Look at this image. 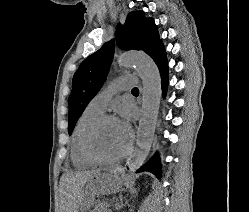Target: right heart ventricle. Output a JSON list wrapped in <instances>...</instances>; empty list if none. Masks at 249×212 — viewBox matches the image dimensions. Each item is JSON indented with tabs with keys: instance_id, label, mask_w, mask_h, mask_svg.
Masks as SVG:
<instances>
[{
	"instance_id": "right-heart-ventricle-1",
	"label": "right heart ventricle",
	"mask_w": 249,
	"mask_h": 212,
	"mask_svg": "<svg viewBox=\"0 0 249 212\" xmlns=\"http://www.w3.org/2000/svg\"><path fill=\"white\" fill-rule=\"evenodd\" d=\"M102 114L103 112L88 104L74 125L69 141V158L71 164L77 169H86L93 166V163L83 153L82 143L88 127Z\"/></svg>"
}]
</instances>
